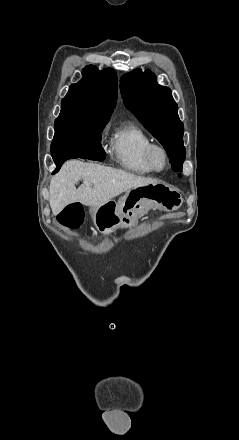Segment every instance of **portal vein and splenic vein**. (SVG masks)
<instances>
[{
    "instance_id": "portal-vein-and-splenic-vein-1",
    "label": "portal vein and splenic vein",
    "mask_w": 239,
    "mask_h": 440,
    "mask_svg": "<svg viewBox=\"0 0 239 440\" xmlns=\"http://www.w3.org/2000/svg\"><path fill=\"white\" fill-rule=\"evenodd\" d=\"M84 184H87V182H84ZM87 186H89V184H87Z\"/></svg>"
}]
</instances>
